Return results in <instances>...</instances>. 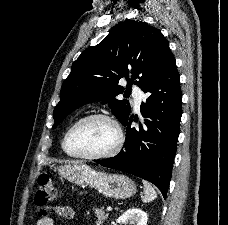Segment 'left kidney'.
<instances>
[{
  "label": "left kidney",
  "instance_id": "1",
  "mask_svg": "<svg viewBox=\"0 0 228 225\" xmlns=\"http://www.w3.org/2000/svg\"><path fill=\"white\" fill-rule=\"evenodd\" d=\"M148 215L141 211V209H128L126 213H123L116 223H129V225H147Z\"/></svg>",
  "mask_w": 228,
  "mask_h": 225
}]
</instances>
